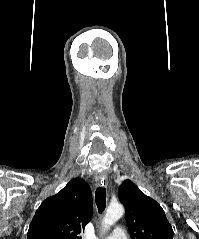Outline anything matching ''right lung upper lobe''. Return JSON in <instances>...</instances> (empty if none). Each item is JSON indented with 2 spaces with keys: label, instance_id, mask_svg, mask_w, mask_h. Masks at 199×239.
<instances>
[{
  "label": "right lung upper lobe",
  "instance_id": "obj_1",
  "mask_svg": "<svg viewBox=\"0 0 199 239\" xmlns=\"http://www.w3.org/2000/svg\"><path fill=\"white\" fill-rule=\"evenodd\" d=\"M93 210L89 185L72 179L58 194L44 200L30 223L27 239H81Z\"/></svg>",
  "mask_w": 199,
  "mask_h": 239
}]
</instances>
